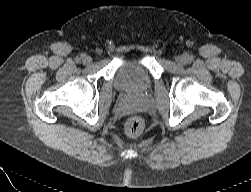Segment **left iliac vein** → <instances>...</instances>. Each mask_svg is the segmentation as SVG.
Returning <instances> with one entry per match:
<instances>
[{
	"label": "left iliac vein",
	"instance_id": "4c4485c4",
	"mask_svg": "<svg viewBox=\"0 0 251 192\" xmlns=\"http://www.w3.org/2000/svg\"><path fill=\"white\" fill-rule=\"evenodd\" d=\"M176 62L178 65H184L186 63V58L184 56H178Z\"/></svg>",
	"mask_w": 251,
	"mask_h": 192
}]
</instances>
